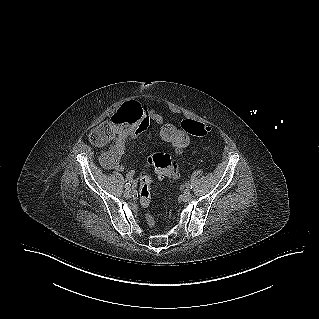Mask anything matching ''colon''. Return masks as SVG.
I'll list each match as a JSON object with an SVG mask.
<instances>
[{"mask_svg":"<svg viewBox=\"0 0 319 319\" xmlns=\"http://www.w3.org/2000/svg\"><path fill=\"white\" fill-rule=\"evenodd\" d=\"M181 128L182 130H178V124L176 123L164 122L156 130V139L163 146L187 150L193 145L194 136L197 138H207L211 134L210 125L205 120L186 118L182 121ZM183 131L188 135H184ZM150 168H153L159 177L168 178L172 181L177 180L180 176L177 161L172 159L168 154L157 152L151 155L139 178V199L143 207H148L151 201V179L147 173ZM147 221L150 226L154 225L152 215H147Z\"/></svg>","mask_w":319,"mask_h":319,"instance_id":"1","label":"colon"}]
</instances>
